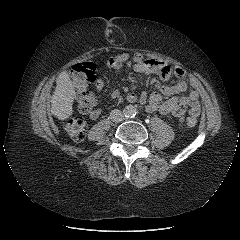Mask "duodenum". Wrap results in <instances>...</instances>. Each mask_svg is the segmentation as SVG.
<instances>
[{"label":"duodenum","instance_id":"duodenum-1","mask_svg":"<svg viewBox=\"0 0 240 240\" xmlns=\"http://www.w3.org/2000/svg\"><path fill=\"white\" fill-rule=\"evenodd\" d=\"M128 100L134 101V100H135V96H134V95H130V96L128 97Z\"/></svg>","mask_w":240,"mask_h":240}]
</instances>
